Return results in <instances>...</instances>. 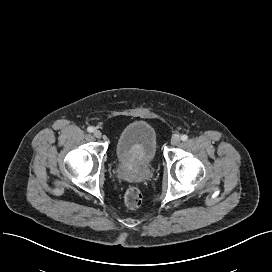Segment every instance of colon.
Returning a JSON list of instances; mask_svg holds the SVG:
<instances>
[{
    "label": "colon",
    "instance_id": "obj_1",
    "mask_svg": "<svg viewBox=\"0 0 272 272\" xmlns=\"http://www.w3.org/2000/svg\"><path fill=\"white\" fill-rule=\"evenodd\" d=\"M125 204L130 209H136L141 205L142 193L137 187H129L124 196Z\"/></svg>",
    "mask_w": 272,
    "mask_h": 272
}]
</instances>
